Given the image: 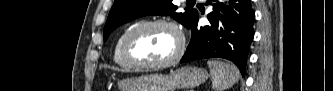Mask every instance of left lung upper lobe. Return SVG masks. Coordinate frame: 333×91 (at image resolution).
Here are the masks:
<instances>
[{"label": "left lung upper lobe", "mask_w": 333, "mask_h": 91, "mask_svg": "<svg viewBox=\"0 0 333 91\" xmlns=\"http://www.w3.org/2000/svg\"><path fill=\"white\" fill-rule=\"evenodd\" d=\"M186 4L192 7V1ZM177 6L172 0H115L104 27V41L118 26L145 15H171L186 28H190L197 11L185 8L184 13H176Z\"/></svg>", "instance_id": "5c2ea615"}]
</instances>
